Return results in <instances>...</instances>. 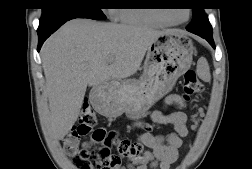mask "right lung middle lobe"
<instances>
[{
	"label": "right lung middle lobe",
	"mask_w": 252,
	"mask_h": 169,
	"mask_svg": "<svg viewBox=\"0 0 252 169\" xmlns=\"http://www.w3.org/2000/svg\"><path fill=\"white\" fill-rule=\"evenodd\" d=\"M39 25L66 17L106 19L102 0H44Z\"/></svg>",
	"instance_id": "1"
}]
</instances>
